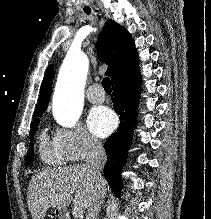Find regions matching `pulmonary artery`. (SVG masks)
<instances>
[{
    "label": "pulmonary artery",
    "mask_w": 211,
    "mask_h": 219,
    "mask_svg": "<svg viewBox=\"0 0 211 219\" xmlns=\"http://www.w3.org/2000/svg\"><path fill=\"white\" fill-rule=\"evenodd\" d=\"M99 88L100 86L98 84H93L88 89L87 99L93 104L102 103L105 100V92L98 91Z\"/></svg>",
    "instance_id": "1"
}]
</instances>
